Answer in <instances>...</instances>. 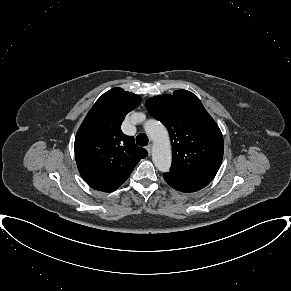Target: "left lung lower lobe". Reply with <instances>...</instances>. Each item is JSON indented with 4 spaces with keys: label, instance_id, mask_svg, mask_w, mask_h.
<instances>
[{
    "label": "left lung lower lobe",
    "instance_id": "0a47b994",
    "mask_svg": "<svg viewBox=\"0 0 291 291\" xmlns=\"http://www.w3.org/2000/svg\"><path fill=\"white\" fill-rule=\"evenodd\" d=\"M164 179L168 185L181 192H195L210 183L208 180L191 178L173 172L164 173Z\"/></svg>",
    "mask_w": 291,
    "mask_h": 291
}]
</instances>
